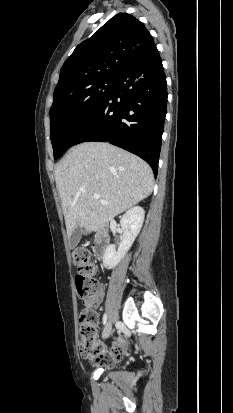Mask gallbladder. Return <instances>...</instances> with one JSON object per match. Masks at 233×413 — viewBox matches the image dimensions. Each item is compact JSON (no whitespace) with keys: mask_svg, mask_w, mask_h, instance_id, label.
I'll return each mask as SVG.
<instances>
[{"mask_svg":"<svg viewBox=\"0 0 233 413\" xmlns=\"http://www.w3.org/2000/svg\"><path fill=\"white\" fill-rule=\"evenodd\" d=\"M82 234H84V232L81 230L80 227H77V228L73 231V233H72V235H71V237H70V239H69V246H70V248L73 249V248H75V247L77 246V244H78L79 241H80V238H81Z\"/></svg>","mask_w":233,"mask_h":413,"instance_id":"obj_1","label":"gallbladder"}]
</instances>
